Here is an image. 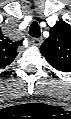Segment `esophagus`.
<instances>
[{
	"instance_id": "esophagus-1",
	"label": "esophagus",
	"mask_w": 71,
	"mask_h": 119,
	"mask_svg": "<svg viewBox=\"0 0 71 119\" xmlns=\"http://www.w3.org/2000/svg\"><path fill=\"white\" fill-rule=\"evenodd\" d=\"M43 40L42 39H38V38H33L31 40V44L34 46H40L42 44Z\"/></svg>"
}]
</instances>
